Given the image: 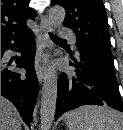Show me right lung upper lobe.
I'll return each instance as SVG.
<instances>
[{
	"label": "right lung upper lobe",
	"mask_w": 123,
	"mask_h": 130,
	"mask_svg": "<svg viewBox=\"0 0 123 130\" xmlns=\"http://www.w3.org/2000/svg\"><path fill=\"white\" fill-rule=\"evenodd\" d=\"M29 2L30 0H1V40L30 31L26 20L34 18V11L29 8Z\"/></svg>",
	"instance_id": "1"
}]
</instances>
